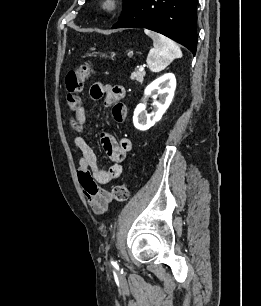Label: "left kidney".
Returning <instances> with one entry per match:
<instances>
[{
  "mask_svg": "<svg viewBox=\"0 0 261 306\" xmlns=\"http://www.w3.org/2000/svg\"><path fill=\"white\" fill-rule=\"evenodd\" d=\"M176 89V78L174 74L167 73L150 83L144 91L143 103L137 105L133 124L136 129L146 131L158 122L172 102ZM153 97V111L146 112V100L149 96ZM157 97L159 99L157 100Z\"/></svg>",
  "mask_w": 261,
  "mask_h": 306,
  "instance_id": "obj_1",
  "label": "left kidney"
}]
</instances>
